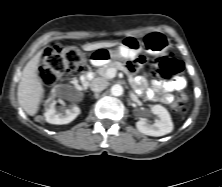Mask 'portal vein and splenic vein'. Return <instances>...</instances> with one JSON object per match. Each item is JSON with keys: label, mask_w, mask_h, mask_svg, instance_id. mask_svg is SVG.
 Listing matches in <instances>:
<instances>
[{"label": "portal vein and splenic vein", "mask_w": 222, "mask_h": 187, "mask_svg": "<svg viewBox=\"0 0 222 187\" xmlns=\"http://www.w3.org/2000/svg\"><path fill=\"white\" fill-rule=\"evenodd\" d=\"M116 72H117V70L115 68H110L107 71V77L108 78H114L116 76Z\"/></svg>", "instance_id": "obj_1"}]
</instances>
